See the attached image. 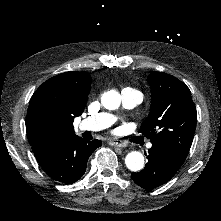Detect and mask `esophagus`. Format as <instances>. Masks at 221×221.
I'll return each mask as SVG.
<instances>
[{
  "label": "esophagus",
  "instance_id": "1",
  "mask_svg": "<svg viewBox=\"0 0 221 221\" xmlns=\"http://www.w3.org/2000/svg\"><path fill=\"white\" fill-rule=\"evenodd\" d=\"M108 144L111 146H115V147H125V143H123L122 141L118 140V139H110L108 141Z\"/></svg>",
  "mask_w": 221,
  "mask_h": 221
}]
</instances>
